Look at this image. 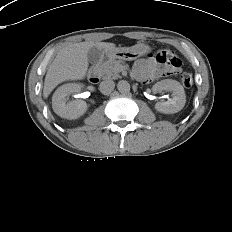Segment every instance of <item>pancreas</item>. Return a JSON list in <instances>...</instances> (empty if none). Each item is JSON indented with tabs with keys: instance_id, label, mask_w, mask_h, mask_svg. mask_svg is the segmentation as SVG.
<instances>
[{
	"instance_id": "obj_1",
	"label": "pancreas",
	"mask_w": 232,
	"mask_h": 232,
	"mask_svg": "<svg viewBox=\"0 0 232 232\" xmlns=\"http://www.w3.org/2000/svg\"><path fill=\"white\" fill-rule=\"evenodd\" d=\"M122 63L123 62L120 60H113L100 65L103 78L117 79L120 77L119 72L121 71Z\"/></svg>"
}]
</instances>
